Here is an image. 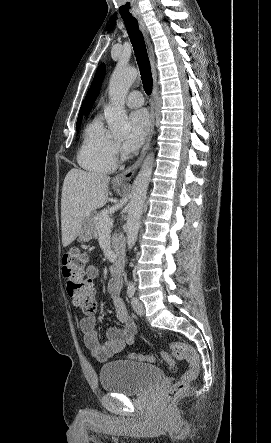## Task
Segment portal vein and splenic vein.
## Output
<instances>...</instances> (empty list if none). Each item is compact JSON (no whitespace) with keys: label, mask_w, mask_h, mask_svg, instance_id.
I'll list each match as a JSON object with an SVG mask.
<instances>
[{"label":"portal vein and splenic vein","mask_w":271,"mask_h":443,"mask_svg":"<svg viewBox=\"0 0 271 443\" xmlns=\"http://www.w3.org/2000/svg\"><path fill=\"white\" fill-rule=\"evenodd\" d=\"M100 225H104L105 229H107V227H112L113 223L111 218H109V216H106V218H100Z\"/></svg>","instance_id":"obj_1"}]
</instances>
